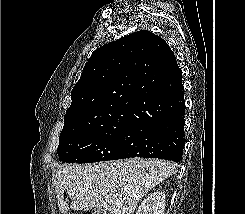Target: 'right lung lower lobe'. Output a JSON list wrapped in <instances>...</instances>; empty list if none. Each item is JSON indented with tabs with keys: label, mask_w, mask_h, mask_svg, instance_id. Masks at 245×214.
Instances as JSON below:
<instances>
[{
	"label": "right lung lower lobe",
	"mask_w": 245,
	"mask_h": 214,
	"mask_svg": "<svg viewBox=\"0 0 245 214\" xmlns=\"http://www.w3.org/2000/svg\"><path fill=\"white\" fill-rule=\"evenodd\" d=\"M181 75L174 56L168 63L163 91L144 100L141 112L131 120L116 159L146 157L180 162L185 145Z\"/></svg>",
	"instance_id": "right-lung-lower-lobe-1"
}]
</instances>
